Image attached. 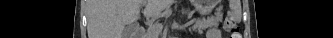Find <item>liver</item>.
Returning a JSON list of instances; mask_svg holds the SVG:
<instances>
[{
  "mask_svg": "<svg viewBox=\"0 0 333 38\" xmlns=\"http://www.w3.org/2000/svg\"><path fill=\"white\" fill-rule=\"evenodd\" d=\"M172 0H89L88 38H123L124 29L136 22L140 8L152 17L164 10Z\"/></svg>",
  "mask_w": 333,
  "mask_h": 38,
  "instance_id": "1",
  "label": "liver"
}]
</instances>
